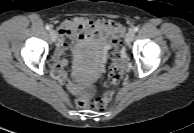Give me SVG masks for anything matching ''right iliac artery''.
<instances>
[{
    "mask_svg": "<svg viewBox=\"0 0 194 133\" xmlns=\"http://www.w3.org/2000/svg\"><path fill=\"white\" fill-rule=\"evenodd\" d=\"M46 29L47 30H50L51 29V26L50 25H46Z\"/></svg>",
    "mask_w": 194,
    "mask_h": 133,
    "instance_id": "82829eb1",
    "label": "right iliac artery"
}]
</instances>
